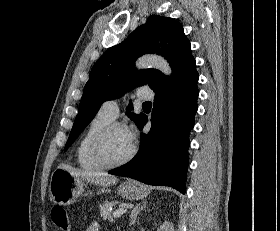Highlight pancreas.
I'll list each match as a JSON object with an SVG mask.
<instances>
[{"label":"pancreas","instance_id":"obj_1","mask_svg":"<svg viewBox=\"0 0 280 231\" xmlns=\"http://www.w3.org/2000/svg\"><path fill=\"white\" fill-rule=\"evenodd\" d=\"M117 203H119V201H104V203H101V205H99L101 217H103V219H111V217H113L111 207H114ZM120 207H125V203H122Z\"/></svg>","mask_w":280,"mask_h":231}]
</instances>
